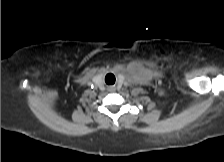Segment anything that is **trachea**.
Here are the masks:
<instances>
[{
	"label": "trachea",
	"mask_w": 224,
	"mask_h": 162,
	"mask_svg": "<svg viewBox=\"0 0 224 162\" xmlns=\"http://www.w3.org/2000/svg\"><path fill=\"white\" fill-rule=\"evenodd\" d=\"M109 78H112L115 81V77L113 76V74H107V76L105 77L106 82Z\"/></svg>",
	"instance_id": "obj_1"
}]
</instances>
